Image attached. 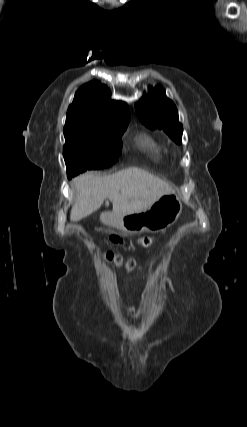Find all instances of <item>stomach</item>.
Segmentation results:
<instances>
[{
    "label": "stomach",
    "instance_id": "0dacf381",
    "mask_svg": "<svg viewBox=\"0 0 247 427\" xmlns=\"http://www.w3.org/2000/svg\"><path fill=\"white\" fill-rule=\"evenodd\" d=\"M181 212L182 203L179 197L171 192L161 196L142 212L123 216L114 212H105L101 214L100 219L109 227L129 233L159 232L174 224Z\"/></svg>",
    "mask_w": 247,
    "mask_h": 427
}]
</instances>
